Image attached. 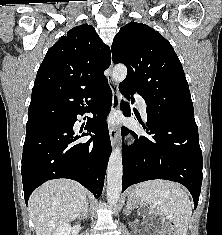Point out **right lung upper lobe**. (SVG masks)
<instances>
[{
    "label": "right lung upper lobe",
    "instance_id": "1",
    "mask_svg": "<svg viewBox=\"0 0 222 235\" xmlns=\"http://www.w3.org/2000/svg\"><path fill=\"white\" fill-rule=\"evenodd\" d=\"M110 48L88 24L72 28L46 53L32 90L28 121L50 119L56 101L105 80Z\"/></svg>",
    "mask_w": 222,
    "mask_h": 235
}]
</instances>
